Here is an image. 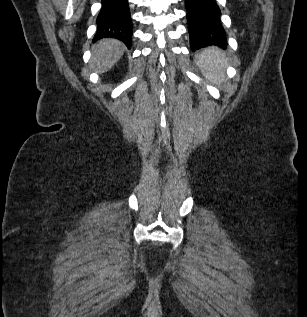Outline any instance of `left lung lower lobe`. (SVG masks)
<instances>
[{"mask_svg":"<svg viewBox=\"0 0 307 317\" xmlns=\"http://www.w3.org/2000/svg\"><path fill=\"white\" fill-rule=\"evenodd\" d=\"M192 51L215 45L227 47L221 11L215 0H185Z\"/></svg>","mask_w":307,"mask_h":317,"instance_id":"left-lung-lower-lobe-1","label":"left lung lower lobe"}]
</instances>
